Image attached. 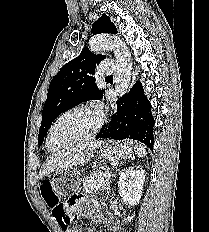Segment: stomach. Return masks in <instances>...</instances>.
<instances>
[{
  "label": "stomach",
  "instance_id": "stomach-1",
  "mask_svg": "<svg viewBox=\"0 0 209 232\" xmlns=\"http://www.w3.org/2000/svg\"><path fill=\"white\" fill-rule=\"evenodd\" d=\"M135 149L134 143L131 141L115 142L108 140L101 145V155L107 160H115L122 157H128L133 154ZM80 171L75 168H65L55 171L51 180V186L58 195H67L74 190H78L83 178H79Z\"/></svg>",
  "mask_w": 209,
  "mask_h": 232
}]
</instances>
